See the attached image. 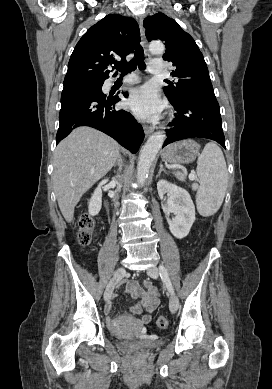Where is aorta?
Masks as SVG:
<instances>
[{
    "label": "aorta",
    "mask_w": 272,
    "mask_h": 389,
    "mask_svg": "<svg viewBox=\"0 0 272 389\" xmlns=\"http://www.w3.org/2000/svg\"><path fill=\"white\" fill-rule=\"evenodd\" d=\"M149 50L153 54L160 55L164 52V45L161 42H151ZM165 138L166 136L162 132L154 133L142 148L137 166V182L139 184H143L147 179L150 167L161 149Z\"/></svg>",
    "instance_id": "aorta-1"
}]
</instances>
